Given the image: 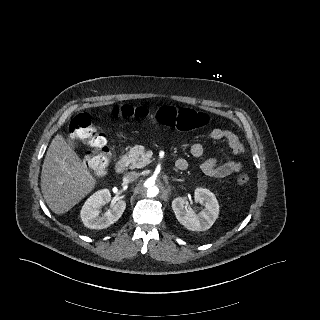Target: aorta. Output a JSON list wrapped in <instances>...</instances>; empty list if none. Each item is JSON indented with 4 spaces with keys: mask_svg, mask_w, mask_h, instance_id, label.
Returning <instances> with one entry per match:
<instances>
[{
    "mask_svg": "<svg viewBox=\"0 0 320 320\" xmlns=\"http://www.w3.org/2000/svg\"><path fill=\"white\" fill-rule=\"evenodd\" d=\"M161 190V182L157 178L153 177H145L143 182H142V192L143 195L149 199H154L156 198Z\"/></svg>",
    "mask_w": 320,
    "mask_h": 320,
    "instance_id": "762f6f07",
    "label": "aorta"
}]
</instances>
